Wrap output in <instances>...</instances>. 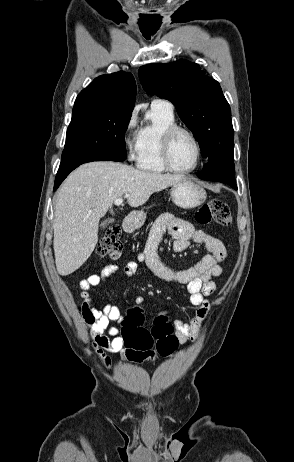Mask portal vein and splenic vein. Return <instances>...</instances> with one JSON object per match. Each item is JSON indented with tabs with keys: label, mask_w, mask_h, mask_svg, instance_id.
Listing matches in <instances>:
<instances>
[{
	"label": "portal vein and splenic vein",
	"mask_w": 294,
	"mask_h": 462,
	"mask_svg": "<svg viewBox=\"0 0 294 462\" xmlns=\"http://www.w3.org/2000/svg\"><path fill=\"white\" fill-rule=\"evenodd\" d=\"M126 197H127V196H124V198H126ZM122 203H123V198H118V199H116V200L114 201V204H115L116 206H119V205H121Z\"/></svg>",
	"instance_id": "18ae733b"
}]
</instances>
